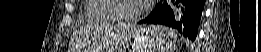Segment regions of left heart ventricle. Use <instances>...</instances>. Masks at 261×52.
I'll list each match as a JSON object with an SVG mask.
<instances>
[{"label":"left heart ventricle","mask_w":261,"mask_h":52,"mask_svg":"<svg viewBox=\"0 0 261 52\" xmlns=\"http://www.w3.org/2000/svg\"><path fill=\"white\" fill-rule=\"evenodd\" d=\"M140 2L141 1H120L117 5V12L120 15L132 16L138 11Z\"/></svg>","instance_id":"left-heart-ventricle-1"}]
</instances>
